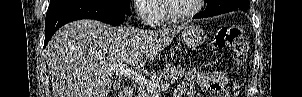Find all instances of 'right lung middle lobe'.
<instances>
[{
	"label": "right lung middle lobe",
	"instance_id": "right-lung-middle-lobe-1",
	"mask_svg": "<svg viewBox=\"0 0 302 97\" xmlns=\"http://www.w3.org/2000/svg\"><path fill=\"white\" fill-rule=\"evenodd\" d=\"M50 1L51 3L49 5V8L78 3V2H99V3L111 5L116 9L123 11L127 15L130 12V0H50Z\"/></svg>",
	"mask_w": 302,
	"mask_h": 97
}]
</instances>
